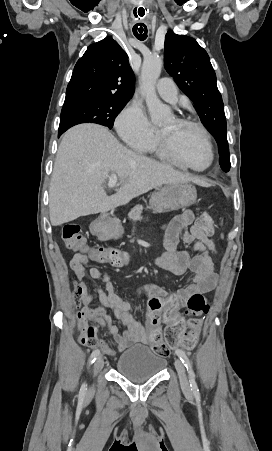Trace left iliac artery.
I'll list each match as a JSON object with an SVG mask.
<instances>
[{
    "mask_svg": "<svg viewBox=\"0 0 272 451\" xmlns=\"http://www.w3.org/2000/svg\"><path fill=\"white\" fill-rule=\"evenodd\" d=\"M176 354L178 355L180 360L183 362V364L187 368V371L189 373L190 387H191V390L193 391V394H194L196 400H200L199 389H198V386H197L196 381H195V374L193 372V369H192V366H191L189 358L187 357L185 352L180 350V349L176 350Z\"/></svg>",
    "mask_w": 272,
    "mask_h": 451,
    "instance_id": "left-iliac-artery-1",
    "label": "left iliac artery"
}]
</instances>
